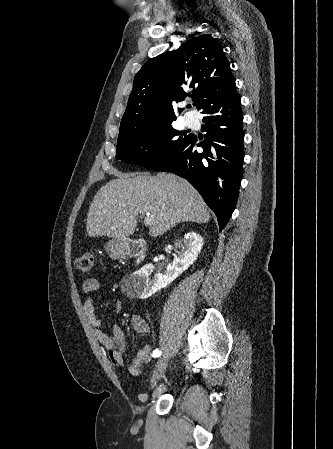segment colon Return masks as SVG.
Masks as SVG:
<instances>
[{"label":"colon","mask_w":333,"mask_h":449,"mask_svg":"<svg viewBox=\"0 0 333 449\" xmlns=\"http://www.w3.org/2000/svg\"><path fill=\"white\" fill-rule=\"evenodd\" d=\"M93 263H94V257L92 255V253H90V252L81 254L75 260L76 268L83 273H88L92 269Z\"/></svg>","instance_id":"colon-1"}]
</instances>
